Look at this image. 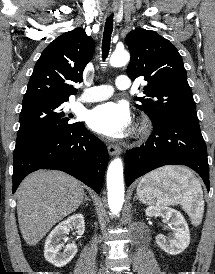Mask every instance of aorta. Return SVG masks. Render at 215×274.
Returning a JSON list of instances; mask_svg holds the SVG:
<instances>
[{"instance_id":"1","label":"aorta","mask_w":215,"mask_h":274,"mask_svg":"<svg viewBox=\"0 0 215 274\" xmlns=\"http://www.w3.org/2000/svg\"><path fill=\"white\" fill-rule=\"evenodd\" d=\"M130 55L126 50H116L110 58L113 67L124 66ZM108 204L111 212L117 214L124 202L123 163L120 158L114 159L107 171Z\"/></svg>"}]
</instances>
